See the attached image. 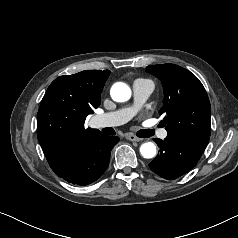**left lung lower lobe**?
<instances>
[{
    "label": "left lung lower lobe",
    "mask_w": 238,
    "mask_h": 238,
    "mask_svg": "<svg viewBox=\"0 0 238 238\" xmlns=\"http://www.w3.org/2000/svg\"><path fill=\"white\" fill-rule=\"evenodd\" d=\"M154 141L160 147V152L149 167L153 172L168 180H174L189 172L207 146V144L174 134H168L164 140L154 139Z\"/></svg>",
    "instance_id": "obj_1"
}]
</instances>
